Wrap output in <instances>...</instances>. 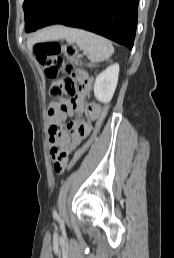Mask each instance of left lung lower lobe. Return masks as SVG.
<instances>
[{"label": "left lung lower lobe", "instance_id": "1", "mask_svg": "<svg viewBox=\"0 0 174 258\" xmlns=\"http://www.w3.org/2000/svg\"><path fill=\"white\" fill-rule=\"evenodd\" d=\"M139 0H61L39 28L63 24L82 28L132 49Z\"/></svg>", "mask_w": 174, "mask_h": 258}]
</instances>
